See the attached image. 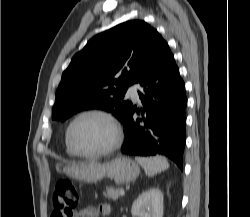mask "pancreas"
Wrapping results in <instances>:
<instances>
[{
	"label": "pancreas",
	"mask_w": 250,
	"mask_h": 217,
	"mask_svg": "<svg viewBox=\"0 0 250 217\" xmlns=\"http://www.w3.org/2000/svg\"><path fill=\"white\" fill-rule=\"evenodd\" d=\"M123 190L122 188H114V187H107L106 191L103 192V195L112 200H117L120 196V191Z\"/></svg>",
	"instance_id": "pancreas-1"
}]
</instances>
